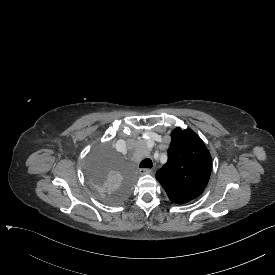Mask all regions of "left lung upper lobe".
<instances>
[{"mask_svg": "<svg viewBox=\"0 0 275 275\" xmlns=\"http://www.w3.org/2000/svg\"><path fill=\"white\" fill-rule=\"evenodd\" d=\"M211 169L210 153L198 135L176 128L171 133L168 161L155 177L172 202L184 204L203 192Z\"/></svg>", "mask_w": 275, "mask_h": 275, "instance_id": "left-lung-upper-lobe-1", "label": "left lung upper lobe"}]
</instances>
